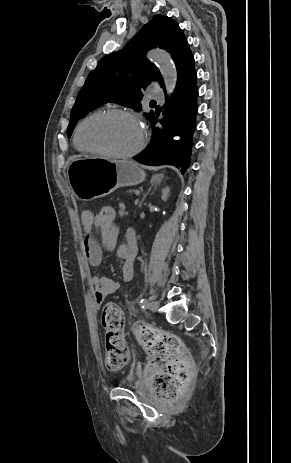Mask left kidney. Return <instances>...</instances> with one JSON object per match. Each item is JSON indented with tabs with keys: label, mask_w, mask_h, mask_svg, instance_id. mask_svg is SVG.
I'll return each mask as SVG.
<instances>
[{
	"label": "left kidney",
	"mask_w": 291,
	"mask_h": 463,
	"mask_svg": "<svg viewBox=\"0 0 291 463\" xmlns=\"http://www.w3.org/2000/svg\"><path fill=\"white\" fill-rule=\"evenodd\" d=\"M169 192H170L169 187H166V188L163 190L162 196H161V199H162L163 201H166V200L168 199Z\"/></svg>",
	"instance_id": "obj_1"
}]
</instances>
